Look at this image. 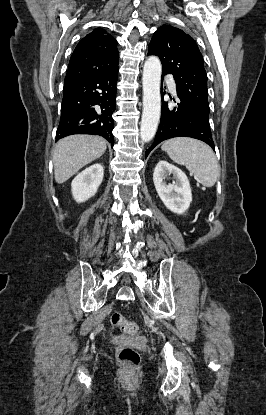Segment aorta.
Returning a JSON list of instances; mask_svg holds the SVG:
<instances>
[{"instance_id":"1","label":"aorta","mask_w":266,"mask_h":415,"mask_svg":"<svg viewBox=\"0 0 266 415\" xmlns=\"http://www.w3.org/2000/svg\"><path fill=\"white\" fill-rule=\"evenodd\" d=\"M162 66L160 60L150 56L143 68V112L140 127V138L149 142L155 136L161 114V83Z\"/></svg>"}]
</instances>
